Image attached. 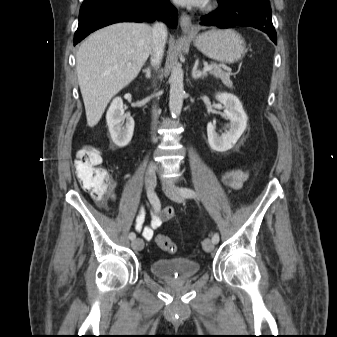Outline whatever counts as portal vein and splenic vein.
Segmentation results:
<instances>
[{
	"mask_svg": "<svg viewBox=\"0 0 337 337\" xmlns=\"http://www.w3.org/2000/svg\"><path fill=\"white\" fill-rule=\"evenodd\" d=\"M213 69V66H205L204 67V71H211ZM229 71H231V70H229Z\"/></svg>",
	"mask_w": 337,
	"mask_h": 337,
	"instance_id": "18ae733b",
	"label": "portal vein and splenic vein"
}]
</instances>
